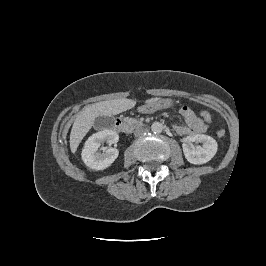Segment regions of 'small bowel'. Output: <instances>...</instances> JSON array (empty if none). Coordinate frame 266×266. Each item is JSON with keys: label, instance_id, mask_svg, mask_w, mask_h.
<instances>
[{"label": "small bowel", "instance_id": "obj_1", "mask_svg": "<svg viewBox=\"0 0 266 266\" xmlns=\"http://www.w3.org/2000/svg\"><path fill=\"white\" fill-rule=\"evenodd\" d=\"M185 125H175L174 130L179 135H194L207 130V125L199 118L189 106H182L179 110Z\"/></svg>", "mask_w": 266, "mask_h": 266}]
</instances>
